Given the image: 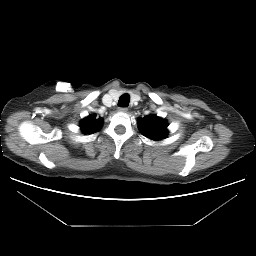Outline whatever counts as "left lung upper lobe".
Returning a JSON list of instances; mask_svg holds the SVG:
<instances>
[{
  "mask_svg": "<svg viewBox=\"0 0 256 256\" xmlns=\"http://www.w3.org/2000/svg\"><path fill=\"white\" fill-rule=\"evenodd\" d=\"M138 124L139 130L147 138L161 140L167 134V122L156 115L139 118Z\"/></svg>",
  "mask_w": 256,
  "mask_h": 256,
  "instance_id": "5c2ea615",
  "label": "left lung upper lobe"
}]
</instances>
